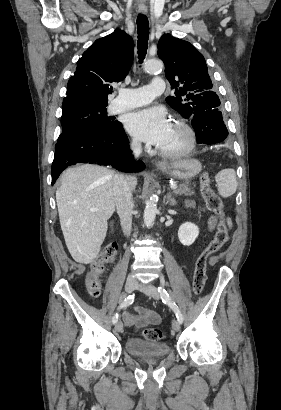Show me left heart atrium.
<instances>
[{
	"instance_id": "39dd6f15",
	"label": "left heart atrium",
	"mask_w": 281,
	"mask_h": 410,
	"mask_svg": "<svg viewBox=\"0 0 281 410\" xmlns=\"http://www.w3.org/2000/svg\"><path fill=\"white\" fill-rule=\"evenodd\" d=\"M171 122L162 107L144 108L131 113L126 128L133 136L147 143L159 146L165 140Z\"/></svg>"
}]
</instances>
